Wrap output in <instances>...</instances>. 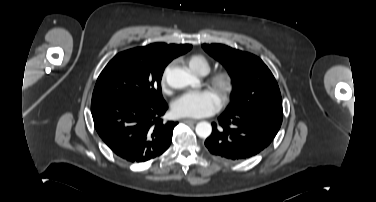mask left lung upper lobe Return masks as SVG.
Returning <instances> with one entry per match:
<instances>
[{"instance_id": "1", "label": "left lung upper lobe", "mask_w": 376, "mask_h": 202, "mask_svg": "<svg viewBox=\"0 0 376 202\" xmlns=\"http://www.w3.org/2000/svg\"><path fill=\"white\" fill-rule=\"evenodd\" d=\"M202 47L226 67L236 85L233 102L225 112L239 115L258 111L282 119L278 84L260 58L222 44H203Z\"/></svg>"}]
</instances>
